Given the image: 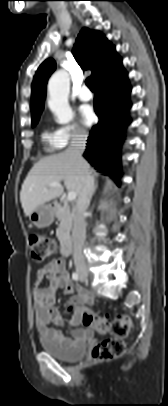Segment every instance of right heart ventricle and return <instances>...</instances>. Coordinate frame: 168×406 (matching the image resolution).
Segmentation results:
<instances>
[{"instance_id":"right-heart-ventricle-1","label":"right heart ventricle","mask_w":168,"mask_h":406,"mask_svg":"<svg viewBox=\"0 0 168 406\" xmlns=\"http://www.w3.org/2000/svg\"><path fill=\"white\" fill-rule=\"evenodd\" d=\"M41 137L48 151L59 150L63 147V145L58 140L56 132H53L49 128L44 129Z\"/></svg>"}]
</instances>
